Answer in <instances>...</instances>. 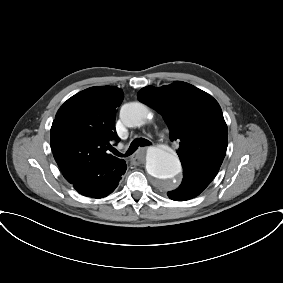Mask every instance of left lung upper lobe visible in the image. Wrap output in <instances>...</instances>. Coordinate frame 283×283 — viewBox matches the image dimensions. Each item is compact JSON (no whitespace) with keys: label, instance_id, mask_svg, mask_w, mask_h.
<instances>
[{"label":"left lung upper lobe","instance_id":"left-lung-upper-lobe-1","mask_svg":"<svg viewBox=\"0 0 283 283\" xmlns=\"http://www.w3.org/2000/svg\"><path fill=\"white\" fill-rule=\"evenodd\" d=\"M138 99L161 113L171 140L179 142L177 154L183 173L211 182L219 171L227 149V125L217 101L191 84L147 86Z\"/></svg>","mask_w":283,"mask_h":283}]
</instances>
